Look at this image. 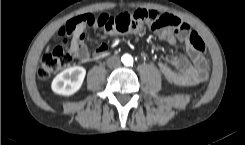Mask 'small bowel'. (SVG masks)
<instances>
[{
    "label": "small bowel",
    "instance_id": "small-bowel-1",
    "mask_svg": "<svg viewBox=\"0 0 245 145\" xmlns=\"http://www.w3.org/2000/svg\"><path fill=\"white\" fill-rule=\"evenodd\" d=\"M86 16L87 15H81L79 17L80 22L74 27V38L70 44L73 57L82 62H88L93 57H101L107 50V45L103 42L91 51L81 41L86 27L91 26L87 22ZM92 26L94 28L96 27L95 25ZM189 28L188 23L182 22V28L179 33H174L166 28H156L155 35L158 39L169 44L182 45L188 55V57L183 55H165L164 63L159 64V69L163 77L170 83L194 86L207 80L209 68L205 56L190 44ZM141 31V29H137V32Z\"/></svg>",
    "mask_w": 245,
    "mask_h": 145
}]
</instances>
